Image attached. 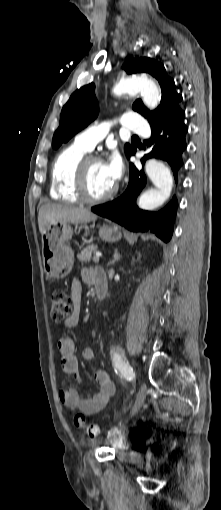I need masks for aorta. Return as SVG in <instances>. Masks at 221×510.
Masks as SVG:
<instances>
[{"instance_id": "aorta-1", "label": "aorta", "mask_w": 221, "mask_h": 510, "mask_svg": "<svg viewBox=\"0 0 221 510\" xmlns=\"http://www.w3.org/2000/svg\"><path fill=\"white\" fill-rule=\"evenodd\" d=\"M140 92L144 104L149 109L158 106L161 94L153 80L143 75L122 78L114 87L116 96ZM145 172L155 188L146 190L139 198L138 206L143 210L160 207L170 196L173 177L168 167L156 159H149L145 164Z\"/></svg>"}]
</instances>
